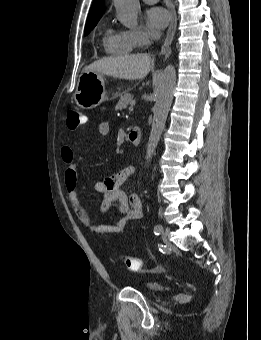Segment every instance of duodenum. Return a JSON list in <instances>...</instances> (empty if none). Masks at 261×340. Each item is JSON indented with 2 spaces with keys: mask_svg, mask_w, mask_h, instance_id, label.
Instances as JSON below:
<instances>
[{
  "mask_svg": "<svg viewBox=\"0 0 261 340\" xmlns=\"http://www.w3.org/2000/svg\"><path fill=\"white\" fill-rule=\"evenodd\" d=\"M129 141L134 145H139L141 142V130L138 127L129 130Z\"/></svg>",
  "mask_w": 261,
  "mask_h": 340,
  "instance_id": "410a0bca",
  "label": "duodenum"
}]
</instances>
